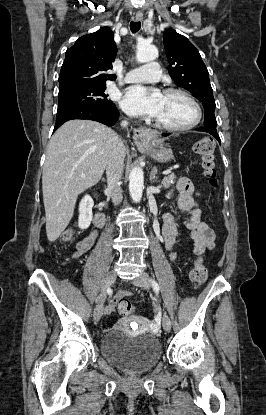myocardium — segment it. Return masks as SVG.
<instances>
[{"mask_svg":"<svg viewBox=\"0 0 266 415\" xmlns=\"http://www.w3.org/2000/svg\"><path fill=\"white\" fill-rule=\"evenodd\" d=\"M164 94H177V95H181L182 97H184L193 106L195 110V118L193 119L192 122H190L187 125H183V126L166 125L156 119L155 125L158 128L168 131V132H184V131H187V130H190L196 127L200 123L201 118H202L201 107L199 103L196 101V99L189 92L183 89H180V88H166L164 90Z\"/></svg>","mask_w":266,"mask_h":415,"instance_id":"obj_1","label":"myocardium"}]
</instances>
